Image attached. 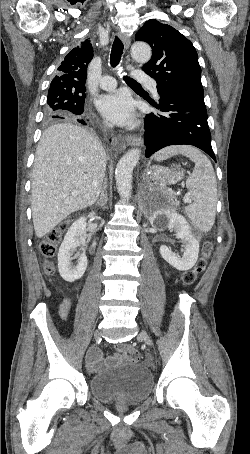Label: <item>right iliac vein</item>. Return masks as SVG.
Instances as JSON below:
<instances>
[{
    "label": "right iliac vein",
    "instance_id": "63e3f726",
    "mask_svg": "<svg viewBox=\"0 0 250 454\" xmlns=\"http://www.w3.org/2000/svg\"><path fill=\"white\" fill-rule=\"evenodd\" d=\"M94 337H95V339L99 338V332L98 331L95 332Z\"/></svg>",
    "mask_w": 250,
    "mask_h": 454
}]
</instances>
